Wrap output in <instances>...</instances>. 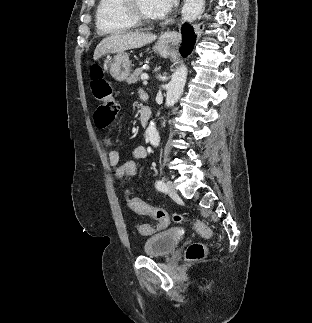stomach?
<instances>
[{"mask_svg":"<svg viewBox=\"0 0 312 323\" xmlns=\"http://www.w3.org/2000/svg\"><path fill=\"white\" fill-rule=\"evenodd\" d=\"M153 50H155L157 54H160L162 58H167L170 52L168 38L161 36ZM109 70L112 78H115L117 82H124L131 72V62L127 54H124V52H122V54H116L109 66Z\"/></svg>","mask_w":312,"mask_h":323,"instance_id":"stomach-1","label":"stomach"}]
</instances>
